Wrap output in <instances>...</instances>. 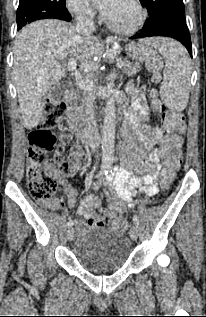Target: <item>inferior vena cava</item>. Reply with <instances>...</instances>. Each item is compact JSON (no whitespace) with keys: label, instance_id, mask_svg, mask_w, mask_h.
<instances>
[{"label":"inferior vena cava","instance_id":"602c4592","mask_svg":"<svg viewBox=\"0 0 206 317\" xmlns=\"http://www.w3.org/2000/svg\"><path fill=\"white\" fill-rule=\"evenodd\" d=\"M85 10V6H82L78 9V15L76 17V30L84 38L90 39L93 37L95 25L93 20L86 16ZM84 104L86 115L84 138L86 145L91 149V152H95L100 144V136L98 132L97 121L95 118L93 99L90 96L86 95L84 98Z\"/></svg>","mask_w":206,"mask_h":317}]
</instances>
